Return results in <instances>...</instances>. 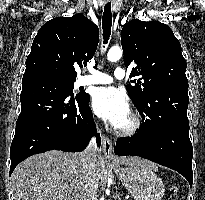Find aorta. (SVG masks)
<instances>
[{
    "instance_id": "1",
    "label": "aorta",
    "mask_w": 205,
    "mask_h": 200,
    "mask_svg": "<svg viewBox=\"0 0 205 200\" xmlns=\"http://www.w3.org/2000/svg\"><path fill=\"white\" fill-rule=\"evenodd\" d=\"M122 57V50L118 46H113L109 49L107 59L110 62H116Z\"/></svg>"
}]
</instances>
